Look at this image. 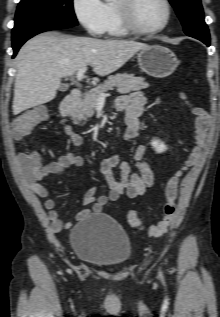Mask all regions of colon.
Listing matches in <instances>:
<instances>
[{
    "label": "colon",
    "instance_id": "obj_1",
    "mask_svg": "<svg viewBox=\"0 0 220 317\" xmlns=\"http://www.w3.org/2000/svg\"><path fill=\"white\" fill-rule=\"evenodd\" d=\"M191 111L195 116V132L193 146L188 153L183 165L177 169L167 180L164 187L165 203L163 206L164 217L157 224L148 228V233L152 236H159L166 232L176 222V198L179 179L183 172L191 166L198 158L204 145L205 138L210 125V117L207 111L201 106H192ZM47 110L44 107H37L17 115L12 120V132L15 139H23L30 134L35 125L45 120ZM26 161L29 165L38 168L41 164L39 156L30 153L26 154ZM128 223L138 229L144 230V223L139 214L130 210L127 213Z\"/></svg>",
    "mask_w": 220,
    "mask_h": 317
}]
</instances>
